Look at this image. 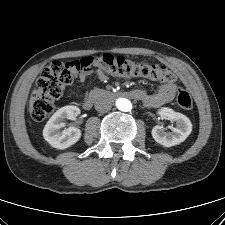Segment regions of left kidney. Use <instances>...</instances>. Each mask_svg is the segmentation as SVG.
Here are the masks:
<instances>
[{"label":"left kidney","mask_w":225,"mask_h":225,"mask_svg":"<svg viewBox=\"0 0 225 225\" xmlns=\"http://www.w3.org/2000/svg\"><path fill=\"white\" fill-rule=\"evenodd\" d=\"M162 119L175 121L177 127H172L173 132H165L162 126H155L152 129L154 140L165 146L171 147L185 141L192 131V123L185 115L175 112L170 108H162L158 111Z\"/></svg>","instance_id":"5707ae66"}]
</instances>
